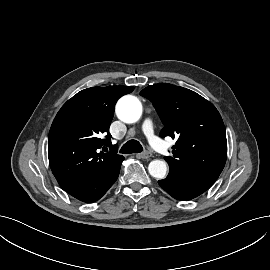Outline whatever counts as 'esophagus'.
Listing matches in <instances>:
<instances>
[{"instance_id":"34e87169","label":"esophagus","mask_w":270,"mask_h":270,"mask_svg":"<svg viewBox=\"0 0 270 270\" xmlns=\"http://www.w3.org/2000/svg\"><path fill=\"white\" fill-rule=\"evenodd\" d=\"M138 156L142 159H150L152 157V153L146 151V152L139 153Z\"/></svg>"}]
</instances>
